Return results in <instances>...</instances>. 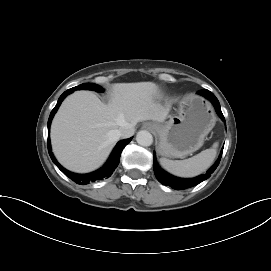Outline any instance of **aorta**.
Wrapping results in <instances>:
<instances>
[{"label":"aorta","instance_id":"aorta-1","mask_svg":"<svg viewBox=\"0 0 271 271\" xmlns=\"http://www.w3.org/2000/svg\"><path fill=\"white\" fill-rule=\"evenodd\" d=\"M136 141L141 146H150L153 143V136L146 130H141L136 135Z\"/></svg>","mask_w":271,"mask_h":271}]
</instances>
